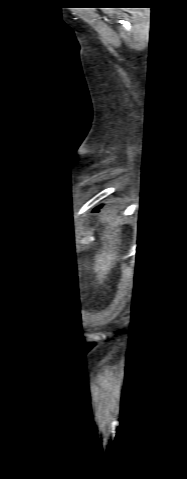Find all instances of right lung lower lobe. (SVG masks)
<instances>
[{
	"label": "right lung lower lobe",
	"instance_id": "1",
	"mask_svg": "<svg viewBox=\"0 0 187 479\" xmlns=\"http://www.w3.org/2000/svg\"><path fill=\"white\" fill-rule=\"evenodd\" d=\"M98 210H99V207H97V208L95 209V211H98Z\"/></svg>",
	"mask_w": 187,
	"mask_h": 479
}]
</instances>
